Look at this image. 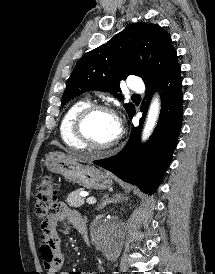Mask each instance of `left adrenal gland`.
<instances>
[{
  "label": "left adrenal gland",
  "instance_id": "1",
  "mask_svg": "<svg viewBox=\"0 0 215 274\" xmlns=\"http://www.w3.org/2000/svg\"><path fill=\"white\" fill-rule=\"evenodd\" d=\"M119 200V197L110 198L108 194L103 195L100 204L97 207V210L103 209L106 205L114 203Z\"/></svg>",
  "mask_w": 215,
  "mask_h": 274
}]
</instances>
